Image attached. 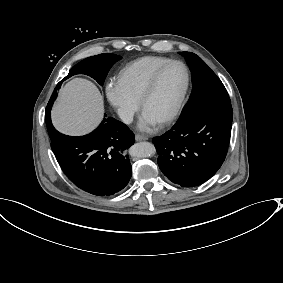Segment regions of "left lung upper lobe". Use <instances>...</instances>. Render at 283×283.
<instances>
[{
  "mask_svg": "<svg viewBox=\"0 0 283 283\" xmlns=\"http://www.w3.org/2000/svg\"><path fill=\"white\" fill-rule=\"evenodd\" d=\"M181 54L186 58L191 70L193 89L178 121L205 107L230 105L226 88L205 62L194 53L181 52Z\"/></svg>",
  "mask_w": 283,
  "mask_h": 283,
  "instance_id": "1",
  "label": "left lung upper lobe"
}]
</instances>
